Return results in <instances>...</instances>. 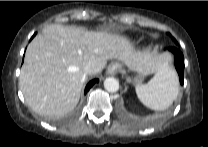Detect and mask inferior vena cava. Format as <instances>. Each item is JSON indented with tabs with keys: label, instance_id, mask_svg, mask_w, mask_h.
<instances>
[{
	"label": "inferior vena cava",
	"instance_id": "1",
	"mask_svg": "<svg viewBox=\"0 0 208 147\" xmlns=\"http://www.w3.org/2000/svg\"><path fill=\"white\" fill-rule=\"evenodd\" d=\"M84 74L88 75V74H92L93 73V67L91 65H86L83 69Z\"/></svg>",
	"mask_w": 208,
	"mask_h": 147
}]
</instances>
